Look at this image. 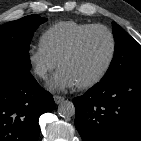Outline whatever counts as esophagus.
Instances as JSON below:
<instances>
[{
    "instance_id": "34e87169",
    "label": "esophagus",
    "mask_w": 141,
    "mask_h": 141,
    "mask_svg": "<svg viewBox=\"0 0 141 141\" xmlns=\"http://www.w3.org/2000/svg\"><path fill=\"white\" fill-rule=\"evenodd\" d=\"M53 98L56 104H60L65 99L63 96H59V95H54Z\"/></svg>"
}]
</instances>
